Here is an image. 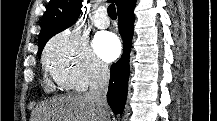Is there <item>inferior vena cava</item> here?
<instances>
[{
    "instance_id": "obj_1",
    "label": "inferior vena cava",
    "mask_w": 217,
    "mask_h": 121,
    "mask_svg": "<svg viewBox=\"0 0 217 121\" xmlns=\"http://www.w3.org/2000/svg\"><path fill=\"white\" fill-rule=\"evenodd\" d=\"M109 77L110 73L108 67L100 63L95 64L90 88L86 93V96L91 98L99 106V112L101 117L104 118L103 120H107L109 116L106 100Z\"/></svg>"
}]
</instances>
